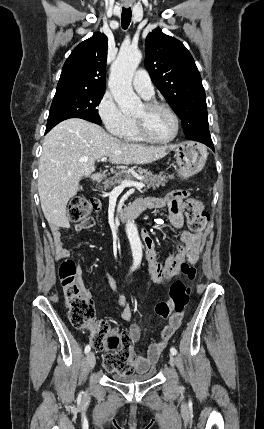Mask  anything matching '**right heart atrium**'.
Here are the masks:
<instances>
[{"instance_id":"obj_1","label":"right heart atrium","mask_w":264,"mask_h":429,"mask_svg":"<svg viewBox=\"0 0 264 429\" xmlns=\"http://www.w3.org/2000/svg\"><path fill=\"white\" fill-rule=\"evenodd\" d=\"M96 111L101 123L111 135L120 137L127 129L130 118L121 111L109 92L101 97Z\"/></svg>"}]
</instances>
